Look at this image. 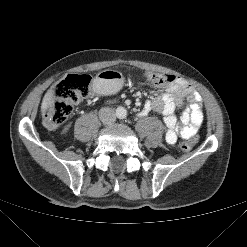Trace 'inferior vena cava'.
Returning <instances> with one entry per match:
<instances>
[{
    "mask_svg": "<svg viewBox=\"0 0 247 247\" xmlns=\"http://www.w3.org/2000/svg\"><path fill=\"white\" fill-rule=\"evenodd\" d=\"M99 118L104 124L111 125L116 120V113L112 108L104 107L99 110Z\"/></svg>",
    "mask_w": 247,
    "mask_h": 247,
    "instance_id": "1",
    "label": "inferior vena cava"
}]
</instances>
